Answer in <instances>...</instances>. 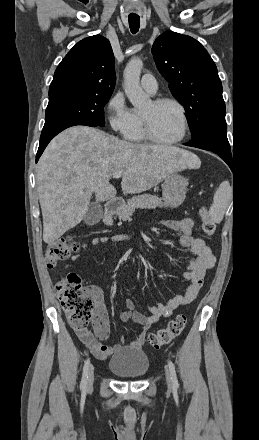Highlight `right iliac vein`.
<instances>
[{
    "label": "right iliac vein",
    "mask_w": 259,
    "mask_h": 440,
    "mask_svg": "<svg viewBox=\"0 0 259 440\" xmlns=\"http://www.w3.org/2000/svg\"><path fill=\"white\" fill-rule=\"evenodd\" d=\"M93 382H94V367L93 365H91L88 371L87 385H86V388L88 390L92 388Z\"/></svg>",
    "instance_id": "right-iliac-vein-1"
}]
</instances>
